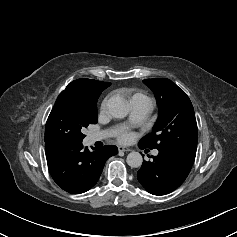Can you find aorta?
<instances>
[{"mask_svg":"<svg viewBox=\"0 0 237 237\" xmlns=\"http://www.w3.org/2000/svg\"><path fill=\"white\" fill-rule=\"evenodd\" d=\"M109 113L115 118H124L129 109L127 103L120 97H111L107 102ZM127 164L132 168H138L142 165L143 158L139 152L132 151L127 155Z\"/></svg>","mask_w":237,"mask_h":237,"instance_id":"1","label":"aorta"}]
</instances>
